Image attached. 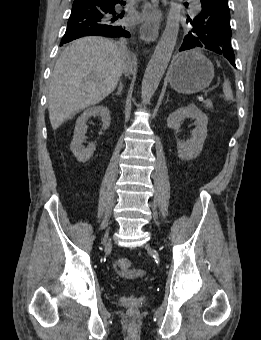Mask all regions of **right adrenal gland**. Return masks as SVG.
I'll return each mask as SVG.
<instances>
[{
    "mask_svg": "<svg viewBox=\"0 0 261 340\" xmlns=\"http://www.w3.org/2000/svg\"><path fill=\"white\" fill-rule=\"evenodd\" d=\"M122 90H123V85H122V83L120 82V83H119V87H118V91L116 92V95H121Z\"/></svg>",
    "mask_w": 261,
    "mask_h": 340,
    "instance_id": "right-adrenal-gland-1",
    "label": "right adrenal gland"
}]
</instances>
